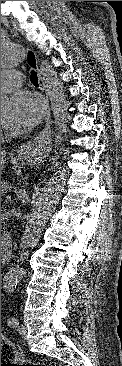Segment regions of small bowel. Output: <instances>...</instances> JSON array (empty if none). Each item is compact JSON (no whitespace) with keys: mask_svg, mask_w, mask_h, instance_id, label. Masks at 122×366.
<instances>
[{"mask_svg":"<svg viewBox=\"0 0 122 366\" xmlns=\"http://www.w3.org/2000/svg\"><path fill=\"white\" fill-rule=\"evenodd\" d=\"M16 275L13 272H9L4 279V284L8 285L15 280Z\"/></svg>","mask_w":122,"mask_h":366,"instance_id":"obj_1","label":"small bowel"}]
</instances>
